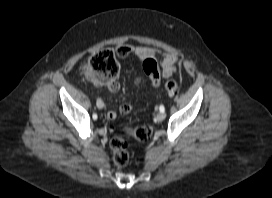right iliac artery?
I'll return each mask as SVG.
<instances>
[{
	"mask_svg": "<svg viewBox=\"0 0 272 198\" xmlns=\"http://www.w3.org/2000/svg\"><path fill=\"white\" fill-rule=\"evenodd\" d=\"M93 119H97V114H93Z\"/></svg>",
	"mask_w": 272,
	"mask_h": 198,
	"instance_id": "obj_1",
	"label": "right iliac artery"
}]
</instances>
